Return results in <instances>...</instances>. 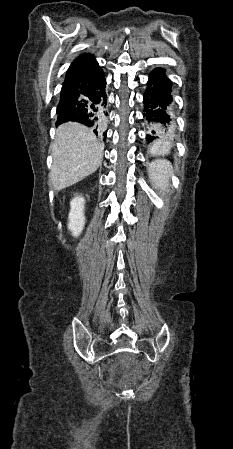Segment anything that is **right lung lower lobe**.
<instances>
[{"mask_svg":"<svg viewBox=\"0 0 233 449\" xmlns=\"http://www.w3.org/2000/svg\"><path fill=\"white\" fill-rule=\"evenodd\" d=\"M106 80L103 70L96 62L91 69L80 77L63 83L59 105L57 106V123L76 121L91 127L96 135L107 132L104 124L107 116Z\"/></svg>","mask_w":233,"mask_h":449,"instance_id":"1","label":"right lung lower lobe"}]
</instances>
